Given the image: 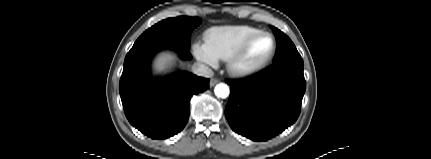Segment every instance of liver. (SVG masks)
Segmentation results:
<instances>
[{
	"label": "liver",
	"instance_id": "liver-1",
	"mask_svg": "<svg viewBox=\"0 0 431 159\" xmlns=\"http://www.w3.org/2000/svg\"><path fill=\"white\" fill-rule=\"evenodd\" d=\"M175 60V57L170 53H161L155 60L154 66L157 71H163L166 68H168L173 61Z\"/></svg>",
	"mask_w": 431,
	"mask_h": 159
}]
</instances>
